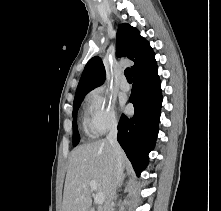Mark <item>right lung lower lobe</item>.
I'll list each match as a JSON object with an SVG mask.
<instances>
[{
    "instance_id": "1",
    "label": "right lung lower lobe",
    "mask_w": 221,
    "mask_h": 211,
    "mask_svg": "<svg viewBox=\"0 0 221 211\" xmlns=\"http://www.w3.org/2000/svg\"><path fill=\"white\" fill-rule=\"evenodd\" d=\"M129 101L134 105V116H121L117 140L139 175L148 164L158 135L162 93L156 64L133 76Z\"/></svg>"
}]
</instances>
